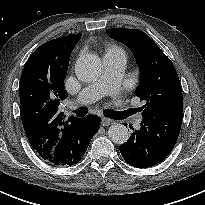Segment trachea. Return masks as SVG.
Returning a JSON list of instances; mask_svg holds the SVG:
<instances>
[{"label":"trachea","mask_w":205,"mask_h":205,"mask_svg":"<svg viewBox=\"0 0 205 205\" xmlns=\"http://www.w3.org/2000/svg\"><path fill=\"white\" fill-rule=\"evenodd\" d=\"M74 113L76 114V116L78 117H83L87 114V109L86 108H78L74 111ZM118 114V112H115V111H111V110H107L104 112V115L108 118H111V119H117L116 118V115Z\"/></svg>","instance_id":"trachea-1"}]
</instances>
